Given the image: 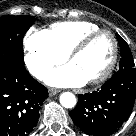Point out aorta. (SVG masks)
Returning <instances> with one entry per match:
<instances>
[{"label":"aorta","instance_id":"762f6f07","mask_svg":"<svg viewBox=\"0 0 136 136\" xmlns=\"http://www.w3.org/2000/svg\"><path fill=\"white\" fill-rule=\"evenodd\" d=\"M60 104L65 108H73L76 105V97L71 92H64L60 95Z\"/></svg>","mask_w":136,"mask_h":136}]
</instances>
